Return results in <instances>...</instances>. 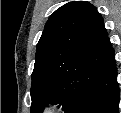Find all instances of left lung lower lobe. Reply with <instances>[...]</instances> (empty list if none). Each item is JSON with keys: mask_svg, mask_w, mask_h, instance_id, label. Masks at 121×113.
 <instances>
[{"mask_svg": "<svg viewBox=\"0 0 121 113\" xmlns=\"http://www.w3.org/2000/svg\"><path fill=\"white\" fill-rule=\"evenodd\" d=\"M120 90L114 54L103 71L84 91L71 113H119Z\"/></svg>", "mask_w": 121, "mask_h": 113, "instance_id": "obj_1", "label": "left lung lower lobe"}]
</instances>
